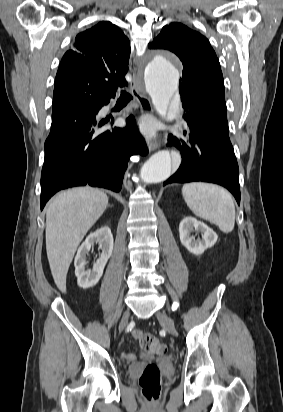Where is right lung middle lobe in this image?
Returning a JSON list of instances; mask_svg holds the SVG:
<instances>
[{
	"label": "right lung middle lobe",
	"mask_w": 283,
	"mask_h": 412,
	"mask_svg": "<svg viewBox=\"0 0 283 412\" xmlns=\"http://www.w3.org/2000/svg\"><path fill=\"white\" fill-rule=\"evenodd\" d=\"M94 105H95V103H93V102L81 101V102H78V103L74 104L72 107H70L69 109H67L63 112L53 114L52 119H53V121H64L66 118H68L70 116L77 115L78 113H80L84 109H88V108H90Z\"/></svg>",
	"instance_id": "1"
}]
</instances>
